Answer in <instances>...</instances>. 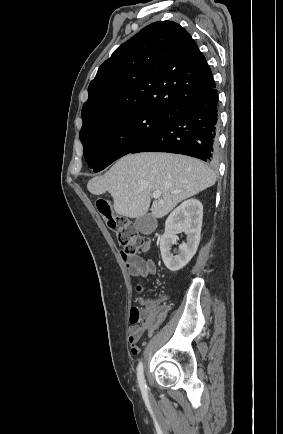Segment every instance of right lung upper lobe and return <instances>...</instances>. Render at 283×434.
Wrapping results in <instances>:
<instances>
[{"instance_id": "cb5924a9", "label": "right lung upper lobe", "mask_w": 283, "mask_h": 434, "mask_svg": "<svg viewBox=\"0 0 283 434\" xmlns=\"http://www.w3.org/2000/svg\"><path fill=\"white\" fill-rule=\"evenodd\" d=\"M214 87L211 69L191 35L175 22H155L99 67L82 108L81 131L131 111L172 114Z\"/></svg>"}]
</instances>
